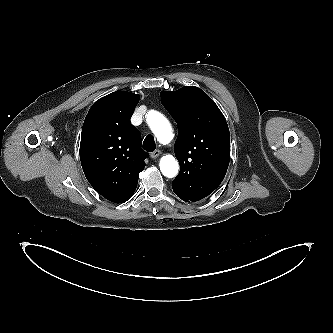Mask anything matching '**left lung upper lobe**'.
<instances>
[{"instance_id": "left-lung-upper-lobe-1", "label": "left lung upper lobe", "mask_w": 333, "mask_h": 333, "mask_svg": "<svg viewBox=\"0 0 333 333\" xmlns=\"http://www.w3.org/2000/svg\"><path fill=\"white\" fill-rule=\"evenodd\" d=\"M161 102L178 123L175 155L180 172L172 181L182 200L199 201L223 181L230 160V134L226 119L201 89L184 86L162 91Z\"/></svg>"}]
</instances>
